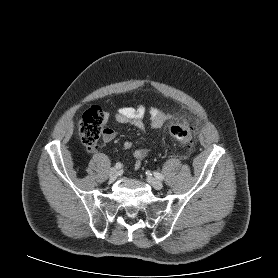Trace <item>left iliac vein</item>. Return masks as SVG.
Listing matches in <instances>:
<instances>
[{
  "mask_svg": "<svg viewBox=\"0 0 278 278\" xmlns=\"http://www.w3.org/2000/svg\"><path fill=\"white\" fill-rule=\"evenodd\" d=\"M147 182L156 190H160L163 187V184L161 181H159L158 179L148 176L147 177Z\"/></svg>",
  "mask_w": 278,
  "mask_h": 278,
  "instance_id": "4c4485c4",
  "label": "left iliac vein"
}]
</instances>
